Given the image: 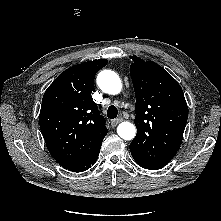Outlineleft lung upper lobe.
<instances>
[{"instance_id": "1", "label": "left lung upper lobe", "mask_w": 221, "mask_h": 221, "mask_svg": "<svg viewBox=\"0 0 221 221\" xmlns=\"http://www.w3.org/2000/svg\"><path fill=\"white\" fill-rule=\"evenodd\" d=\"M136 96L137 135L130 144L133 158L143 164L165 166L176 154L188 118L180 85L154 62L130 56Z\"/></svg>"}]
</instances>
